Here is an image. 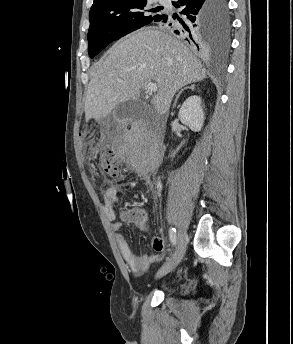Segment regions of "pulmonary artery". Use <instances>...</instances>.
Segmentation results:
<instances>
[{"mask_svg": "<svg viewBox=\"0 0 293 344\" xmlns=\"http://www.w3.org/2000/svg\"><path fill=\"white\" fill-rule=\"evenodd\" d=\"M160 3H166L168 0H158Z\"/></svg>", "mask_w": 293, "mask_h": 344, "instance_id": "obj_1", "label": "pulmonary artery"}]
</instances>
